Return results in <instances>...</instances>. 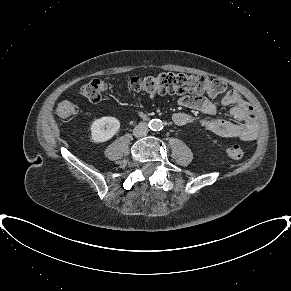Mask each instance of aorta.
<instances>
[{"label":"aorta","instance_id":"aorta-1","mask_svg":"<svg viewBox=\"0 0 291 291\" xmlns=\"http://www.w3.org/2000/svg\"><path fill=\"white\" fill-rule=\"evenodd\" d=\"M148 125L153 131H159L163 128V122L160 119H152Z\"/></svg>","mask_w":291,"mask_h":291}]
</instances>
